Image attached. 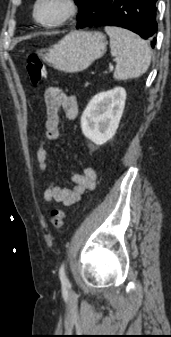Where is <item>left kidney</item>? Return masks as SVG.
<instances>
[{
	"label": "left kidney",
	"instance_id": "left-kidney-1",
	"mask_svg": "<svg viewBox=\"0 0 171 337\" xmlns=\"http://www.w3.org/2000/svg\"><path fill=\"white\" fill-rule=\"evenodd\" d=\"M125 100L126 91L122 87L95 95L81 116L84 136L96 145H103L110 140L119 126Z\"/></svg>",
	"mask_w": 171,
	"mask_h": 337
}]
</instances>
